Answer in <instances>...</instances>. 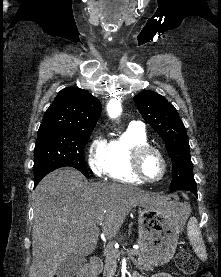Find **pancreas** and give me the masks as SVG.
<instances>
[{
  "label": "pancreas",
  "instance_id": "pancreas-1",
  "mask_svg": "<svg viewBox=\"0 0 221 277\" xmlns=\"http://www.w3.org/2000/svg\"><path fill=\"white\" fill-rule=\"evenodd\" d=\"M123 252L113 249V248H109L106 252V259H105V266H104V270H103V274L106 277H110V274L112 272H114L115 268H116V260L117 258L120 257V255ZM128 254L130 256H138L137 260H134V263L138 266V268H140L141 270H153L154 267L150 264H148L142 257H141V252L139 250H129Z\"/></svg>",
  "mask_w": 221,
  "mask_h": 277
}]
</instances>
